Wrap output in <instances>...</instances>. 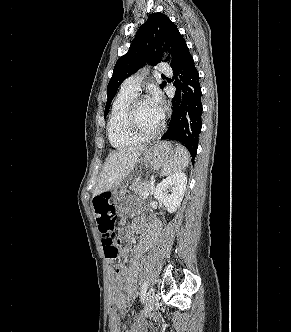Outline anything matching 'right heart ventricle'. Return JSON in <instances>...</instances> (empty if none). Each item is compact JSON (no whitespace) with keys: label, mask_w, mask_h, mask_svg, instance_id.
Wrapping results in <instances>:
<instances>
[{"label":"right heart ventricle","mask_w":291,"mask_h":332,"mask_svg":"<svg viewBox=\"0 0 291 332\" xmlns=\"http://www.w3.org/2000/svg\"><path fill=\"white\" fill-rule=\"evenodd\" d=\"M137 94L121 89L113 101L107 125L108 138L115 148H124L141 142L127 129V112Z\"/></svg>","instance_id":"obj_1"}]
</instances>
